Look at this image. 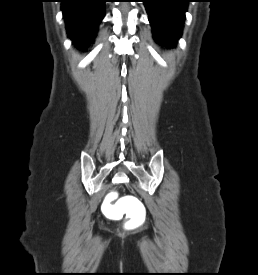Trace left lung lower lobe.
I'll use <instances>...</instances> for the list:
<instances>
[{"label":"left lung lower lobe","instance_id":"0a47b994","mask_svg":"<svg viewBox=\"0 0 258 275\" xmlns=\"http://www.w3.org/2000/svg\"><path fill=\"white\" fill-rule=\"evenodd\" d=\"M158 43L174 47L181 36L189 0H143Z\"/></svg>","mask_w":258,"mask_h":275}]
</instances>
